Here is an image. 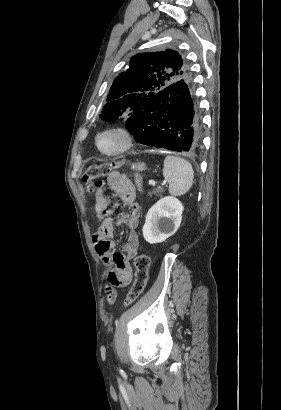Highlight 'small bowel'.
Segmentation results:
<instances>
[{
	"label": "small bowel",
	"instance_id": "1",
	"mask_svg": "<svg viewBox=\"0 0 281 410\" xmlns=\"http://www.w3.org/2000/svg\"><path fill=\"white\" fill-rule=\"evenodd\" d=\"M106 193L120 195L126 199L127 204L134 202L135 189L130 180L124 174L113 172L107 178L105 187L95 193V212L100 226L93 235L95 250L101 261L108 267L107 281L111 287L124 288L132 278V260L138 253L139 236L138 213H124L118 219L111 216V209ZM124 224L128 228V237L121 251H114L111 241L116 225ZM109 300H113L114 292L108 290Z\"/></svg>",
	"mask_w": 281,
	"mask_h": 410
}]
</instances>
